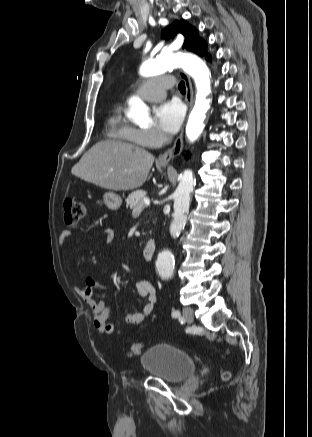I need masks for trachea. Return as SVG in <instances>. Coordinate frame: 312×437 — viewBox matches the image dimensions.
Listing matches in <instances>:
<instances>
[{"label": "trachea", "instance_id": "obj_1", "mask_svg": "<svg viewBox=\"0 0 312 437\" xmlns=\"http://www.w3.org/2000/svg\"><path fill=\"white\" fill-rule=\"evenodd\" d=\"M178 88L180 90L181 93H185L186 92V87H185V83L183 81H181L178 85Z\"/></svg>", "mask_w": 312, "mask_h": 437}]
</instances>
